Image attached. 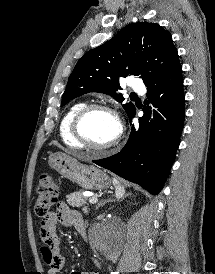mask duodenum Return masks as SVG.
Here are the masks:
<instances>
[{
    "instance_id": "obj_1",
    "label": "duodenum",
    "mask_w": 215,
    "mask_h": 274,
    "mask_svg": "<svg viewBox=\"0 0 215 274\" xmlns=\"http://www.w3.org/2000/svg\"><path fill=\"white\" fill-rule=\"evenodd\" d=\"M80 233H81L82 235H86V230H85V229H82V230L80 231Z\"/></svg>"
}]
</instances>
